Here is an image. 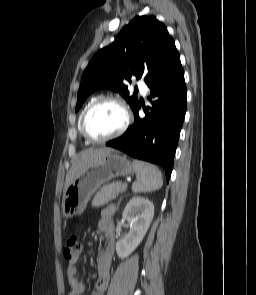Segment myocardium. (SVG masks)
<instances>
[{
    "instance_id": "f54148a6",
    "label": "myocardium",
    "mask_w": 256,
    "mask_h": 295,
    "mask_svg": "<svg viewBox=\"0 0 256 295\" xmlns=\"http://www.w3.org/2000/svg\"><path fill=\"white\" fill-rule=\"evenodd\" d=\"M107 102L117 105L122 110L123 115H124V121H123L122 126L115 133H113L109 136L103 137V138H96L89 133V131L87 129V120H88L89 114L92 112L93 109H95L100 104L107 103ZM130 120H131L130 112H129L128 108L126 107V105L120 99L113 97V96H102V97L95 99L85 110V112L82 116V120H81V131H82L83 136L89 142L105 143V142H108L110 140H113V139L121 136L127 130L128 126L130 124Z\"/></svg>"
}]
</instances>
